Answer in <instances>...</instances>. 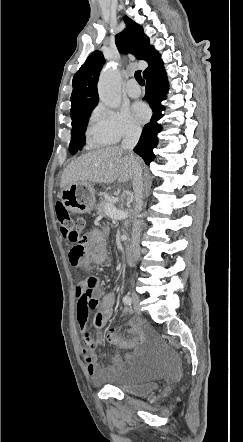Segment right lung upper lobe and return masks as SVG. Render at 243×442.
<instances>
[{
    "instance_id": "1",
    "label": "right lung upper lobe",
    "mask_w": 243,
    "mask_h": 442,
    "mask_svg": "<svg viewBox=\"0 0 243 442\" xmlns=\"http://www.w3.org/2000/svg\"><path fill=\"white\" fill-rule=\"evenodd\" d=\"M126 28L115 36L116 46L121 53H131L137 59L148 63V68L143 75L156 65L160 60V55L150 45L149 38L144 34L143 28L125 16ZM105 59L103 53L94 51L86 59L78 72L74 75L71 95L70 116L74 121L78 116L86 111H92L97 105L99 96L97 92V81Z\"/></svg>"
}]
</instances>
